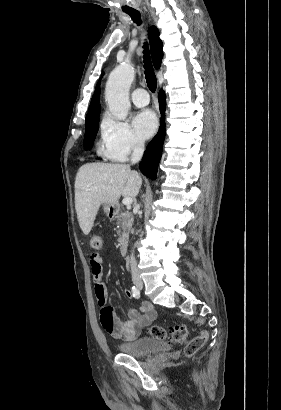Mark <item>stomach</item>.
Listing matches in <instances>:
<instances>
[{
  "label": "stomach",
  "mask_w": 281,
  "mask_h": 410,
  "mask_svg": "<svg viewBox=\"0 0 281 410\" xmlns=\"http://www.w3.org/2000/svg\"><path fill=\"white\" fill-rule=\"evenodd\" d=\"M103 208H104V212H105L108 216H113V215L115 214V205H112V204H104Z\"/></svg>",
  "instance_id": "1"
}]
</instances>
